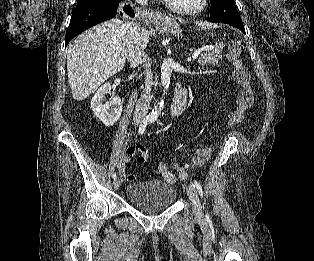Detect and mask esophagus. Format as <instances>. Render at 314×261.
<instances>
[{"label":"esophagus","instance_id":"obj_1","mask_svg":"<svg viewBox=\"0 0 314 261\" xmlns=\"http://www.w3.org/2000/svg\"><path fill=\"white\" fill-rule=\"evenodd\" d=\"M154 15H155V16H160V14H159V13H154Z\"/></svg>","mask_w":314,"mask_h":261}]
</instances>
